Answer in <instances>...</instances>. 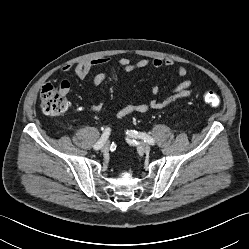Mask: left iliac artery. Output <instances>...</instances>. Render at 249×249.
Returning a JSON list of instances; mask_svg holds the SVG:
<instances>
[{
	"mask_svg": "<svg viewBox=\"0 0 249 249\" xmlns=\"http://www.w3.org/2000/svg\"><path fill=\"white\" fill-rule=\"evenodd\" d=\"M127 135H129L130 137H133V138H139V139H142L144 140V142H147L151 145H154L155 144V140L147 135L146 133H141V132H137V131H133V130H130V131H127Z\"/></svg>",
	"mask_w": 249,
	"mask_h": 249,
	"instance_id": "obj_1",
	"label": "left iliac artery"
}]
</instances>
